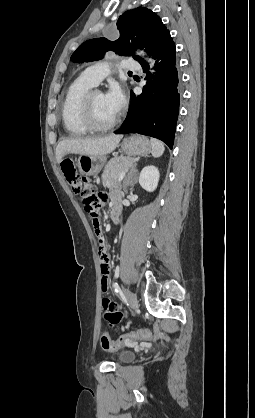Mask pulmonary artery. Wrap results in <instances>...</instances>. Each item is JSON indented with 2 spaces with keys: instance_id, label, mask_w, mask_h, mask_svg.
<instances>
[{
  "instance_id": "1",
  "label": "pulmonary artery",
  "mask_w": 255,
  "mask_h": 418,
  "mask_svg": "<svg viewBox=\"0 0 255 418\" xmlns=\"http://www.w3.org/2000/svg\"><path fill=\"white\" fill-rule=\"evenodd\" d=\"M121 67L124 70H139L140 65L133 60H124L121 63ZM109 73V67L106 64H96L88 67L82 74L93 85H98Z\"/></svg>"
}]
</instances>
